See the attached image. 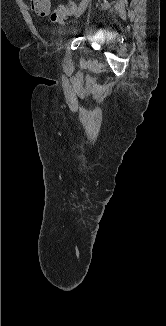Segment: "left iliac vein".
Returning a JSON list of instances; mask_svg holds the SVG:
<instances>
[{"label":"left iliac vein","mask_w":166,"mask_h":326,"mask_svg":"<svg viewBox=\"0 0 166 326\" xmlns=\"http://www.w3.org/2000/svg\"><path fill=\"white\" fill-rule=\"evenodd\" d=\"M89 3V0H82L80 5L78 6L77 10H76V13H75V18H79L83 13L84 11L86 10L87 8V5Z\"/></svg>","instance_id":"obj_1"}]
</instances>
